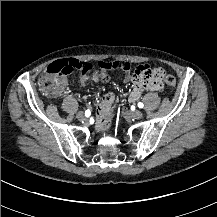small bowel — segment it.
Instances as JSON below:
<instances>
[{"label":"small bowel","instance_id":"c3829d8e","mask_svg":"<svg viewBox=\"0 0 217 217\" xmlns=\"http://www.w3.org/2000/svg\"><path fill=\"white\" fill-rule=\"evenodd\" d=\"M110 77L111 76L107 71H105L103 69H98V70H95L94 72H92L90 75L82 74L80 76L79 80H80V83L82 85H84L89 79H91L95 82H99V81L107 82V81H109ZM58 78L63 79L64 88H65V86L67 84L66 78L65 77H58ZM125 80L126 81H133V78L131 76H126ZM142 92H143L142 85H140L139 83H137L135 81V85L133 86L132 90L130 91V93L128 95V101L131 103L135 102L141 96ZM114 100H115V95L113 93L104 94L101 97L100 101L98 102V105H97L98 111L110 108L112 106Z\"/></svg>","mask_w":217,"mask_h":217}]
</instances>
